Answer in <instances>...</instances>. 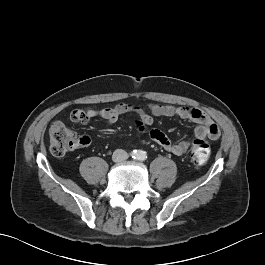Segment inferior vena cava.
Returning a JSON list of instances; mask_svg holds the SVG:
<instances>
[{
	"instance_id": "inferior-vena-cava-1",
	"label": "inferior vena cava",
	"mask_w": 265,
	"mask_h": 265,
	"mask_svg": "<svg viewBox=\"0 0 265 265\" xmlns=\"http://www.w3.org/2000/svg\"><path fill=\"white\" fill-rule=\"evenodd\" d=\"M128 158V153L125 150L117 149L113 152L112 159L115 162H121Z\"/></svg>"
}]
</instances>
